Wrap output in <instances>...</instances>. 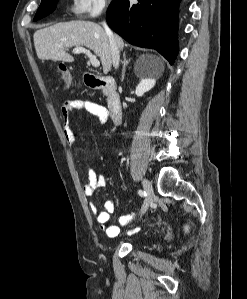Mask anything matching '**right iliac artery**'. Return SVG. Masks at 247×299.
Here are the masks:
<instances>
[{"label":"right iliac artery","mask_w":247,"mask_h":299,"mask_svg":"<svg viewBox=\"0 0 247 299\" xmlns=\"http://www.w3.org/2000/svg\"><path fill=\"white\" fill-rule=\"evenodd\" d=\"M138 194H139L141 197H145V196H146V192L143 191V190H139V191H138Z\"/></svg>","instance_id":"1"}]
</instances>
